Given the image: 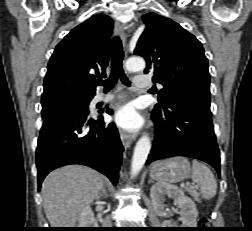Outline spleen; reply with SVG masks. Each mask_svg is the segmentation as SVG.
I'll use <instances>...</instances> for the list:
<instances>
[{"mask_svg": "<svg viewBox=\"0 0 252 231\" xmlns=\"http://www.w3.org/2000/svg\"><path fill=\"white\" fill-rule=\"evenodd\" d=\"M191 177L194 182L199 184V192L204 199H211L216 195L217 182L213 173L206 165L194 160Z\"/></svg>", "mask_w": 252, "mask_h": 231, "instance_id": "obj_1", "label": "spleen"}]
</instances>
